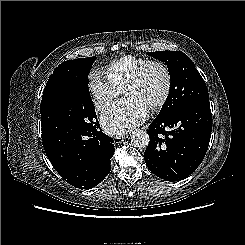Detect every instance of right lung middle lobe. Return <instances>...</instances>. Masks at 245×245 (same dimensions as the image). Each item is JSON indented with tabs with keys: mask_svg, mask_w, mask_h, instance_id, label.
<instances>
[{
	"mask_svg": "<svg viewBox=\"0 0 245 245\" xmlns=\"http://www.w3.org/2000/svg\"><path fill=\"white\" fill-rule=\"evenodd\" d=\"M95 60L93 56L65 61L53 71L45 87L50 101L40 106L42 128H87L95 123L97 115L88 88V74Z\"/></svg>",
	"mask_w": 245,
	"mask_h": 245,
	"instance_id": "obj_1",
	"label": "right lung middle lobe"
}]
</instances>
